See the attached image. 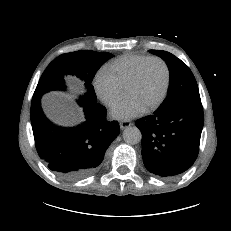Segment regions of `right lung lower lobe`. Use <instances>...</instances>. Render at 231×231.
Masks as SVG:
<instances>
[{
  "mask_svg": "<svg viewBox=\"0 0 231 231\" xmlns=\"http://www.w3.org/2000/svg\"><path fill=\"white\" fill-rule=\"evenodd\" d=\"M33 96L31 124L38 155L59 176L78 180L92 175L104 159L111 142L119 135L118 122L106 120V109L96 102L80 103L86 121L73 128L51 124Z\"/></svg>",
  "mask_w": 231,
  "mask_h": 231,
  "instance_id": "obj_1",
  "label": "right lung lower lobe"
}]
</instances>
